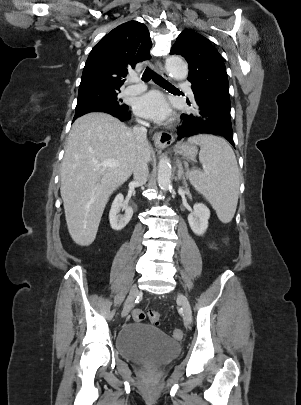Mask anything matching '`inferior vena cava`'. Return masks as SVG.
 Returning <instances> with one entry per match:
<instances>
[{
    "label": "inferior vena cava",
    "instance_id": "602c4592",
    "mask_svg": "<svg viewBox=\"0 0 301 405\" xmlns=\"http://www.w3.org/2000/svg\"><path fill=\"white\" fill-rule=\"evenodd\" d=\"M139 125L135 126L132 130L135 139L138 144H145L147 142V129L146 127H149V123L144 122V121H138ZM133 175H134V181L138 185H143L146 183L148 175H149V170H148V165L147 161L144 159L143 156H138V158L135 161L134 168H133Z\"/></svg>",
    "mask_w": 301,
    "mask_h": 405
}]
</instances>
